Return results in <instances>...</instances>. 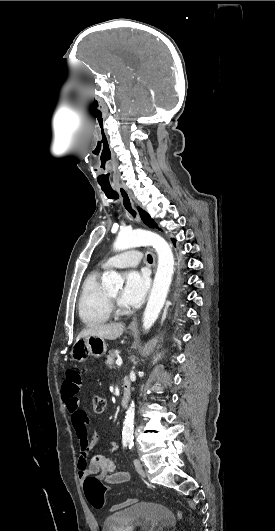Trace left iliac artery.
Listing matches in <instances>:
<instances>
[{"instance_id": "obj_1", "label": "left iliac artery", "mask_w": 275, "mask_h": 531, "mask_svg": "<svg viewBox=\"0 0 275 531\" xmlns=\"http://www.w3.org/2000/svg\"><path fill=\"white\" fill-rule=\"evenodd\" d=\"M127 442H128V444H129V449H132V447H133V445H134L133 440H128Z\"/></svg>"}]
</instances>
